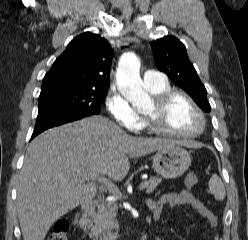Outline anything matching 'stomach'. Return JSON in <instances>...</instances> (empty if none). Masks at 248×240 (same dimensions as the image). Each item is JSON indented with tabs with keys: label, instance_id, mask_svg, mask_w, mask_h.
<instances>
[{
	"label": "stomach",
	"instance_id": "obj_1",
	"mask_svg": "<svg viewBox=\"0 0 248 240\" xmlns=\"http://www.w3.org/2000/svg\"><path fill=\"white\" fill-rule=\"evenodd\" d=\"M190 164V154L179 145L157 150L153 156L154 170L166 179H174L181 176L187 171Z\"/></svg>",
	"mask_w": 248,
	"mask_h": 240
}]
</instances>
